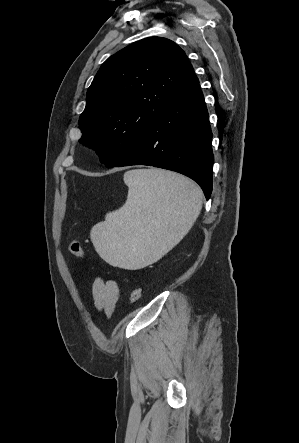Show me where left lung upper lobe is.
<instances>
[{"label":"left lung upper lobe","mask_w":299,"mask_h":443,"mask_svg":"<svg viewBox=\"0 0 299 443\" xmlns=\"http://www.w3.org/2000/svg\"><path fill=\"white\" fill-rule=\"evenodd\" d=\"M194 75L185 52L166 38H145L118 51L87 91L80 142L113 167Z\"/></svg>","instance_id":"1"}]
</instances>
